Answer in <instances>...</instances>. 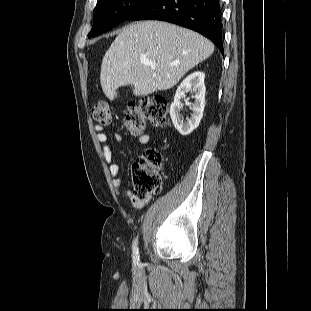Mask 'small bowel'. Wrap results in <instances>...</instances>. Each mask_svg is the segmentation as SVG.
<instances>
[{
    "label": "small bowel",
    "instance_id": "obj_1",
    "mask_svg": "<svg viewBox=\"0 0 311 311\" xmlns=\"http://www.w3.org/2000/svg\"><path fill=\"white\" fill-rule=\"evenodd\" d=\"M94 130L96 139L101 145L102 156L108 165V171L112 178L113 185L117 194L128 198L135 209H142L150 202L151 196L150 195L138 196L122 185V180L120 177V167L119 164L113 160V152L111 147L107 143V135L105 134L102 126L100 125H95ZM114 140L117 143H121L123 137L120 133H115ZM149 140L150 137L148 134H142L138 137V142L141 145H146L149 142Z\"/></svg>",
    "mask_w": 311,
    "mask_h": 311
}]
</instances>
